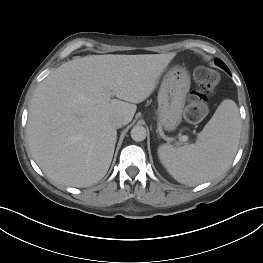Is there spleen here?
<instances>
[{"instance_id": "spleen-1", "label": "spleen", "mask_w": 263, "mask_h": 263, "mask_svg": "<svg viewBox=\"0 0 263 263\" xmlns=\"http://www.w3.org/2000/svg\"><path fill=\"white\" fill-rule=\"evenodd\" d=\"M241 132L239 109L232 100H224L205 125L195 144L174 147L162 144L158 156L179 183L196 185L223 173L238 149Z\"/></svg>"}]
</instances>
